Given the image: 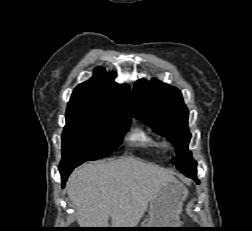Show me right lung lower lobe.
Segmentation results:
<instances>
[{
  "label": "right lung lower lobe",
  "mask_w": 252,
  "mask_h": 231,
  "mask_svg": "<svg viewBox=\"0 0 252 231\" xmlns=\"http://www.w3.org/2000/svg\"><path fill=\"white\" fill-rule=\"evenodd\" d=\"M76 166L74 167H69V168H65V169H62L60 170V174H61V178H62V186H64L69 174L72 172V170L75 168Z\"/></svg>",
  "instance_id": "right-lung-lower-lobe-1"
}]
</instances>
